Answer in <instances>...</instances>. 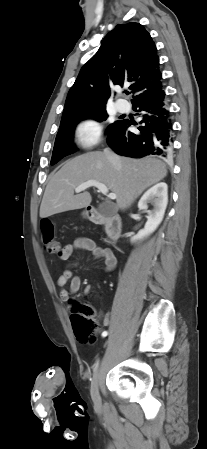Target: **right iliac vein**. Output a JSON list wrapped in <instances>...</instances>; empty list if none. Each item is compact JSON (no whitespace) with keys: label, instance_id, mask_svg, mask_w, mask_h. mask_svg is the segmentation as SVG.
I'll return each mask as SVG.
<instances>
[{"label":"right iliac vein","instance_id":"right-iliac-vein-1","mask_svg":"<svg viewBox=\"0 0 207 449\" xmlns=\"http://www.w3.org/2000/svg\"><path fill=\"white\" fill-rule=\"evenodd\" d=\"M101 370H102V363L100 362L98 364V366L93 374L92 380H91L90 393H91V397H92V400L95 405H99L101 402L100 393H99Z\"/></svg>","mask_w":207,"mask_h":449}]
</instances>
